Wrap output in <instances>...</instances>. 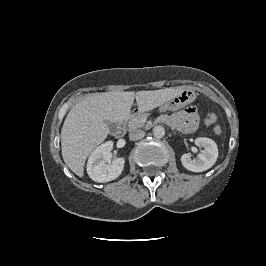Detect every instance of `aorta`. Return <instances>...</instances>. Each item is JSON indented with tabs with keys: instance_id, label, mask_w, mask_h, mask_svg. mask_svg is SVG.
Here are the masks:
<instances>
[{
	"instance_id": "762f6f07",
	"label": "aorta",
	"mask_w": 266,
	"mask_h": 266,
	"mask_svg": "<svg viewBox=\"0 0 266 266\" xmlns=\"http://www.w3.org/2000/svg\"><path fill=\"white\" fill-rule=\"evenodd\" d=\"M153 135L156 138H162L165 135V129L163 126H155L153 128Z\"/></svg>"
}]
</instances>
